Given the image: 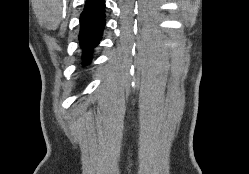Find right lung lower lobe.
<instances>
[{
  "label": "right lung lower lobe",
  "mask_w": 249,
  "mask_h": 174,
  "mask_svg": "<svg viewBox=\"0 0 249 174\" xmlns=\"http://www.w3.org/2000/svg\"><path fill=\"white\" fill-rule=\"evenodd\" d=\"M104 26V0H87L84 11L80 15L79 34L84 61L91 60V51L100 42Z\"/></svg>",
  "instance_id": "right-lung-lower-lobe-1"
}]
</instances>
